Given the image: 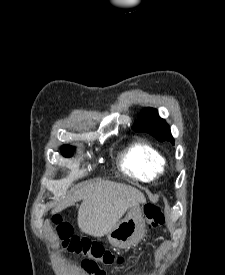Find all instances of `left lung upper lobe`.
I'll use <instances>...</instances> for the list:
<instances>
[{
	"label": "left lung upper lobe",
	"mask_w": 225,
	"mask_h": 275,
	"mask_svg": "<svg viewBox=\"0 0 225 275\" xmlns=\"http://www.w3.org/2000/svg\"><path fill=\"white\" fill-rule=\"evenodd\" d=\"M134 131L147 132L157 140L169 141L174 144L168 124L159 117L156 109L146 108L133 126Z\"/></svg>",
	"instance_id": "5c2ea615"
}]
</instances>
